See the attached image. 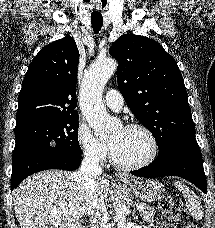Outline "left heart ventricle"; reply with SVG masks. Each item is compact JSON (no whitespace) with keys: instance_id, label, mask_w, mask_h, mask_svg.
Segmentation results:
<instances>
[{"instance_id":"obj_1","label":"left heart ventricle","mask_w":215,"mask_h":228,"mask_svg":"<svg viewBox=\"0 0 215 228\" xmlns=\"http://www.w3.org/2000/svg\"><path fill=\"white\" fill-rule=\"evenodd\" d=\"M108 142L115 159L124 164L140 161L149 149L148 139L139 129L120 128L111 135Z\"/></svg>"}]
</instances>
